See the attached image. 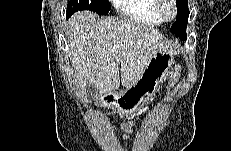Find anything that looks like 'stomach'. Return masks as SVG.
<instances>
[{
	"mask_svg": "<svg viewBox=\"0 0 231 151\" xmlns=\"http://www.w3.org/2000/svg\"><path fill=\"white\" fill-rule=\"evenodd\" d=\"M173 64L174 58L171 53L157 52L150 58L146 68L134 84L108 97L109 105L124 114L139 111L157 92Z\"/></svg>",
	"mask_w": 231,
	"mask_h": 151,
	"instance_id": "stomach-1",
	"label": "stomach"
}]
</instances>
